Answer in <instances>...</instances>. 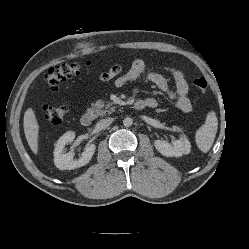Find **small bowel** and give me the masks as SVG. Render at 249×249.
Returning <instances> with one entry per match:
<instances>
[{"mask_svg":"<svg viewBox=\"0 0 249 249\" xmlns=\"http://www.w3.org/2000/svg\"><path fill=\"white\" fill-rule=\"evenodd\" d=\"M146 63L142 59H136L132 62L130 68L126 71L119 65L112 66L109 70L101 71L99 79L107 82L114 80L117 88L138 79L144 75L145 79L154 84L158 89L164 92L168 101L183 112H190L192 104L188 98V84L183 73L173 67H167L166 71L175 83V90H171L168 86L166 78L157 72H146ZM146 103V108H154L158 102L153 97L141 99Z\"/></svg>","mask_w":249,"mask_h":249,"instance_id":"small-bowel-1","label":"small bowel"}]
</instances>
